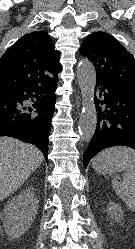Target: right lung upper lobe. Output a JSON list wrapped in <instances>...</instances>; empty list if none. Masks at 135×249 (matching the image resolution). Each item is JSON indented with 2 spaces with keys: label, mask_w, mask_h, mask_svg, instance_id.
Masks as SVG:
<instances>
[{
  "label": "right lung upper lobe",
  "mask_w": 135,
  "mask_h": 249,
  "mask_svg": "<svg viewBox=\"0 0 135 249\" xmlns=\"http://www.w3.org/2000/svg\"><path fill=\"white\" fill-rule=\"evenodd\" d=\"M59 51L47 32L25 34L0 58V89L39 85L56 78L61 70Z\"/></svg>",
  "instance_id": "right-lung-upper-lobe-1"
}]
</instances>
